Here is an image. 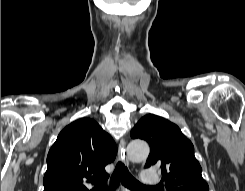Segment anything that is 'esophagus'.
<instances>
[{
  "mask_svg": "<svg viewBox=\"0 0 245 191\" xmlns=\"http://www.w3.org/2000/svg\"><path fill=\"white\" fill-rule=\"evenodd\" d=\"M118 158L125 165H129V160H128V157L126 155V141L124 139H121L120 143H119Z\"/></svg>",
  "mask_w": 245,
  "mask_h": 191,
  "instance_id": "34e87169",
  "label": "esophagus"
}]
</instances>
